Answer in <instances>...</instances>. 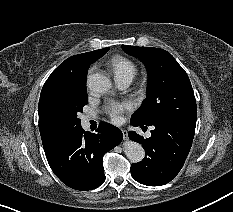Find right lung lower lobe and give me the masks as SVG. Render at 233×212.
<instances>
[{"mask_svg": "<svg viewBox=\"0 0 233 212\" xmlns=\"http://www.w3.org/2000/svg\"><path fill=\"white\" fill-rule=\"evenodd\" d=\"M96 132H85L79 127L45 151L55 175L73 189L99 187L105 181L103 155L123 139L122 132L106 122H101Z\"/></svg>", "mask_w": 233, "mask_h": 212, "instance_id": "right-lung-lower-lobe-1", "label": "right lung lower lobe"}]
</instances>
